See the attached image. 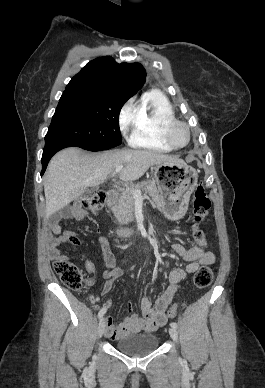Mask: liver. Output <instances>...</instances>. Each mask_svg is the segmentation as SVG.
<instances>
[{
	"label": "liver",
	"instance_id": "1",
	"mask_svg": "<svg viewBox=\"0 0 265 388\" xmlns=\"http://www.w3.org/2000/svg\"><path fill=\"white\" fill-rule=\"evenodd\" d=\"M155 164L184 166L185 162L149 150H121L82 156L78 148H66L52 158L44 176L46 218L77 200L86 188L104 184L117 166H125L118 174L119 180L134 182Z\"/></svg>",
	"mask_w": 265,
	"mask_h": 388
}]
</instances>
